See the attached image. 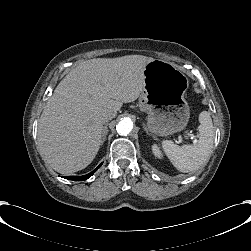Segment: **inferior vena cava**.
Instances as JSON below:
<instances>
[{"label": "inferior vena cava", "mask_w": 251, "mask_h": 251, "mask_svg": "<svg viewBox=\"0 0 251 251\" xmlns=\"http://www.w3.org/2000/svg\"><path fill=\"white\" fill-rule=\"evenodd\" d=\"M115 117H116V114L115 113H111V114H109L107 116H104L103 119H102V121H103V123H106V122H108L109 120H111V119H113Z\"/></svg>", "instance_id": "1"}]
</instances>
